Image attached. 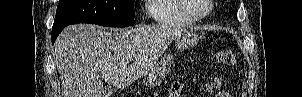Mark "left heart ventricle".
Instances as JSON below:
<instances>
[{
  "label": "left heart ventricle",
  "instance_id": "1",
  "mask_svg": "<svg viewBox=\"0 0 302 97\" xmlns=\"http://www.w3.org/2000/svg\"><path fill=\"white\" fill-rule=\"evenodd\" d=\"M186 8L195 15H202L207 11L206 0H185Z\"/></svg>",
  "mask_w": 302,
  "mask_h": 97
}]
</instances>
